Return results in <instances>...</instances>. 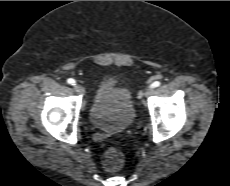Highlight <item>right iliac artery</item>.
I'll list each match as a JSON object with an SVG mask.
<instances>
[{
	"label": "right iliac artery",
	"instance_id": "1",
	"mask_svg": "<svg viewBox=\"0 0 230 186\" xmlns=\"http://www.w3.org/2000/svg\"><path fill=\"white\" fill-rule=\"evenodd\" d=\"M67 83H69V84H71V85H75V84H76V81H75L74 79H72V78H69V79L67 80Z\"/></svg>",
	"mask_w": 230,
	"mask_h": 186
}]
</instances>
